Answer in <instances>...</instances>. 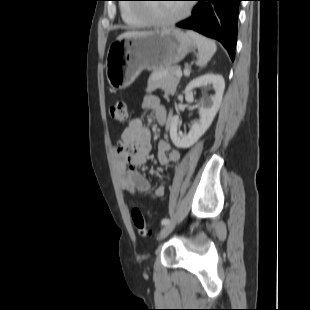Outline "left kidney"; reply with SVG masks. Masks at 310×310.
Returning <instances> with one entry per match:
<instances>
[{
  "mask_svg": "<svg viewBox=\"0 0 310 310\" xmlns=\"http://www.w3.org/2000/svg\"><path fill=\"white\" fill-rule=\"evenodd\" d=\"M207 85H213L215 94L204 96L200 100V119L192 124L188 134L179 130V116L176 115L172 118L170 138L177 148H188L195 144L210 127L219 110L225 89V81L220 75L209 73L191 81L185 89V99L192 102L194 99L193 89Z\"/></svg>",
  "mask_w": 310,
  "mask_h": 310,
  "instance_id": "1",
  "label": "left kidney"
}]
</instances>
